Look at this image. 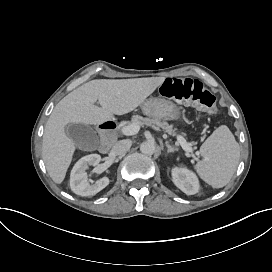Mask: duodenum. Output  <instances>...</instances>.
I'll list each match as a JSON object with an SVG mask.
<instances>
[{"label": "duodenum", "mask_w": 272, "mask_h": 272, "mask_svg": "<svg viewBox=\"0 0 272 272\" xmlns=\"http://www.w3.org/2000/svg\"><path fill=\"white\" fill-rule=\"evenodd\" d=\"M117 125L112 120H106L100 125L101 145L100 151L107 152L116 140Z\"/></svg>", "instance_id": "duodenum-1"}]
</instances>
